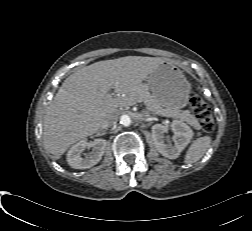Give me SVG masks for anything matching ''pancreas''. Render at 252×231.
Wrapping results in <instances>:
<instances>
[{"instance_id": "pancreas-1", "label": "pancreas", "mask_w": 252, "mask_h": 231, "mask_svg": "<svg viewBox=\"0 0 252 231\" xmlns=\"http://www.w3.org/2000/svg\"><path fill=\"white\" fill-rule=\"evenodd\" d=\"M128 98L132 102H144L146 108L155 114L179 119L180 121L190 124L193 128L197 130L201 128L198 119L188 110L163 109L154 100V98L145 86L141 85L140 87H138L136 91L128 95Z\"/></svg>"}]
</instances>
